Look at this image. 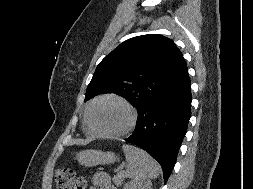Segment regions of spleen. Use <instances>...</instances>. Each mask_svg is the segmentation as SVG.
I'll list each match as a JSON object with an SVG mask.
<instances>
[{
	"label": "spleen",
	"mask_w": 253,
	"mask_h": 189,
	"mask_svg": "<svg viewBox=\"0 0 253 189\" xmlns=\"http://www.w3.org/2000/svg\"><path fill=\"white\" fill-rule=\"evenodd\" d=\"M122 148L128 162L125 171L126 177L136 180L158 177L160 166L147 152L129 144H124Z\"/></svg>",
	"instance_id": "obj_1"
}]
</instances>
